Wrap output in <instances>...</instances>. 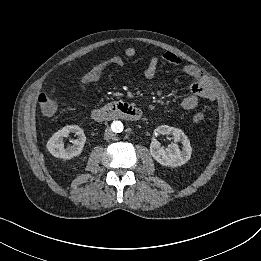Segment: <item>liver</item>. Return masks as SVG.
Segmentation results:
<instances>
[{
	"label": "liver",
	"instance_id": "liver-1",
	"mask_svg": "<svg viewBox=\"0 0 261 261\" xmlns=\"http://www.w3.org/2000/svg\"><path fill=\"white\" fill-rule=\"evenodd\" d=\"M54 89H55V88H53V90L51 91V94L54 92Z\"/></svg>",
	"mask_w": 261,
	"mask_h": 261
}]
</instances>
